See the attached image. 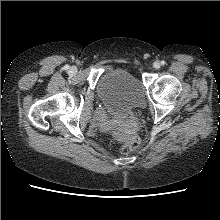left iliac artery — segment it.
I'll return each instance as SVG.
<instances>
[{"label":"left iliac artery","instance_id":"left-iliac-artery-1","mask_svg":"<svg viewBox=\"0 0 220 220\" xmlns=\"http://www.w3.org/2000/svg\"><path fill=\"white\" fill-rule=\"evenodd\" d=\"M161 64H162V65H165V61H161Z\"/></svg>","mask_w":220,"mask_h":220}]
</instances>
